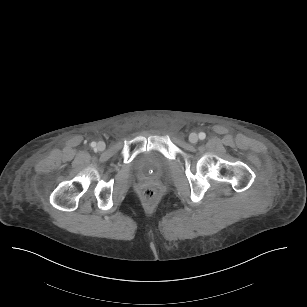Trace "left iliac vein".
<instances>
[{"mask_svg": "<svg viewBox=\"0 0 307 307\" xmlns=\"http://www.w3.org/2000/svg\"><path fill=\"white\" fill-rule=\"evenodd\" d=\"M189 141L196 144L198 142V135L196 133H191L189 136Z\"/></svg>", "mask_w": 307, "mask_h": 307, "instance_id": "1", "label": "left iliac vein"}]
</instances>
